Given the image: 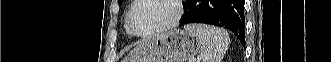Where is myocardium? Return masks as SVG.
<instances>
[{"label":"myocardium","mask_w":331,"mask_h":62,"mask_svg":"<svg viewBox=\"0 0 331 62\" xmlns=\"http://www.w3.org/2000/svg\"><path fill=\"white\" fill-rule=\"evenodd\" d=\"M142 1L143 0L133 1L132 5H131V8L129 9L128 14H127V18H126L127 27H128L129 32L133 36H136V37H139V38H150V37H153L155 35H159L163 32H166V31L172 29L173 27H175L178 24V22L180 21L181 17H182V14H183L182 1H180V0H170L173 3L174 7H175L174 17L168 23H166L165 25H163L162 27H160L158 29H155L153 31L146 32V33H140L138 31H136L134 26H133L132 15H133V12H134L135 8Z\"/></svg>","instance_id":"myocardium-1"}]
</instances>
